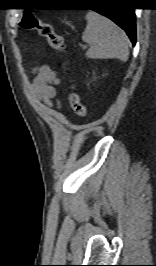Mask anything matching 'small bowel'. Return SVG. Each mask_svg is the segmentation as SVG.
Listing matches in <instances>:
<instances>
[{"label":"small bowel","mask_w":156,"mask_h":266,"mask_svg":"<svg viewBox=\"0 0 156 266\" xmlns=\"http://www.w3.org/2000/svg\"><path fill=\"white\" fill-rule=\"evenodd\" d=\"M33 79V90L36 95L48 106H55L61 109V103L54 101L56 97V87L61 84V79L56 70L48 65H43L36 69Z\"/></svg>","instance_id":"c3829d8e"}]
</instances>
